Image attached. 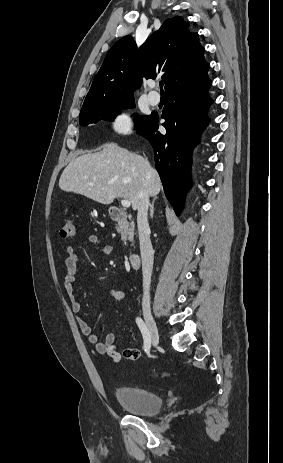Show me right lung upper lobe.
I'll use <instances>...</instances> for the list:
<instances>
[{
    "label": "right lung upper lobe",
    "instance_id": "obj_1",
    "mask_svg": "<svg viewBox=\"0 0 283 463\" xmlns=\"http://www.w3.org/2000/svg\"><path fill=\"white\" fill-rule=\"evenodd\" d=\"M188 27V22L176 16L165 20L139 50L132 36L117 41L108 51L83 105L133 97L140 77L148 79L162 74L167 92L207 75L210 65L204 59V48L198 34Z\"/></svg>",
    "mask_w": 283,
    "mask_h": 463
}]
</instances>
